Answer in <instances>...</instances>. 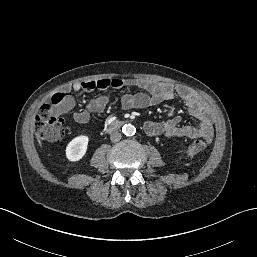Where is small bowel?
Masks as SVG:
<instances>
[{
    "label": "small bowel",
    "instance_id": "c3829d8e",
    "mask_svg": "<svg viewBox=\"0 0 257 257\" xmlns=\"http://www.w3.org/2000/svg\"><path fill=\"white\" fill-rule=\"evenodd\" d=\"M112 87L117 90H124L129 87H137L143 92L132 94L124 91L121 95V105L124 109H142L157 105L164 101L173 100L179 96L185 103L189 114L196 120L192 125L181 126V118L173 117L167 121H148L144 125L145 132L149 136L163 135L166 138L202 137L210 140L213 135V123L205 104L196 95L184 88H175L169 83L156 82L146 79H118L102 78L75 83L71 86H64L61 90L65 92L89 93L94 90H106ZM110 102L108 95H101L88 101L85 109L75 111L73 119L79 124H87L92 113L103 112ZM75 105L72 97H67L63 105V112L70 111Z\"/></svg>",
    "mask_w": 257,
    "mask_h": 257
}]
</instances>
